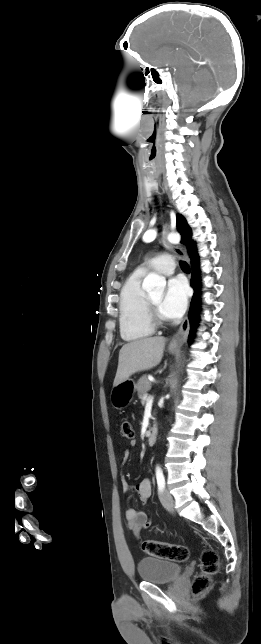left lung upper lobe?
Returning <instances> with one entry per match:
<instances>
[{
	"instance_id": "obj_1",
	"label": "left lung upper lobe",
	"mask_w": 261,
	"mask_h": 644,
	"mask_svg": "<svg viewBox=\"0 0 261 644\" xmlns=\"http://www.w3.org/2000/svg\"><path fill=\"white\" fill-rule=\"evenodd\" d=\"M177 230L182 235L181 243L185 244L188 248L190 258H199L196 252L195 243L192 241V233L190 227L187 225L185 218L182 215H177Z\"/></svg>"
}]
</instances>
